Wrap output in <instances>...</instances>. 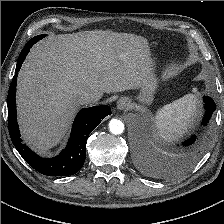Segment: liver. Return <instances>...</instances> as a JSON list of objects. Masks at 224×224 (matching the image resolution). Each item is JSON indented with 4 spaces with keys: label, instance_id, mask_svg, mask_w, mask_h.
Segmentation results:
<instances>
[{
    "label": "liver",
    "instance_id": "6515ba94",
    "mask_svg": "<svg viewBox=\"0 0 224 224\" xmlns=\"http://www.w3.org/2000/svg\"><path fill=\"white\" fill-rule=\"evenodd\" d=\"M152 62L148 41L128 33L50 36L28 54L18 76L17 113L25 142L47 151L64 137L85 92L140 88Z\"/></svg>",
    "mask_w": 224,
    "mask_h": 224
}]
</instances>
